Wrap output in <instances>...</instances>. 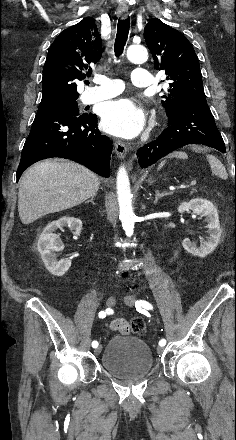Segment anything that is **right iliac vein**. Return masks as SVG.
<instances>
[{
  "mask_svg": "<svg viewBox=\"0 0 236 440\" xmlns=\"http://www.w3.org/2000/svg\"><path fill=\"white\" fill-rule=\"evenodd\" d=\"M106 304H107L108 307H113V306L116 304V298H115L114 296H110V297H108V299H107V301H106ZM101 350H102V346L99 345V346L94 350V353H95L96 355H98V354H100Z\"/></svg>",
  "mask_w": 236,
  "mask_h": 440,
  "instance_id": "1",
  "label": "right iliac vein"
}]
</instances>
